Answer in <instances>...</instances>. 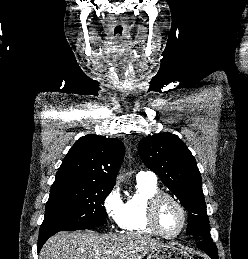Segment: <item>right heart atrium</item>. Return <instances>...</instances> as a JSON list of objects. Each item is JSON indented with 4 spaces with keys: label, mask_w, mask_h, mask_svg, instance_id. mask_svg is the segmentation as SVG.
I'll use <instances>...</instances> for the list:
<instances>
[{
    "label": "right heart atrium",
    "mask_w": 248,
    "mask_h": 259,
    "mask_svg": "<svg viewBox=\"0 0 248 259\" xmlns=\"http://www.w3.org/2000/svg\"><path fill=\"white\" fill-rule=\"evenodd\" d=\"M104 207L111 221L114 224L121 226L124 203L121 197L120 189L117 185H115L106 196L104 200Z\"/></svg>",
    "instance_id": "d8ad5b80"
}]
</instances>
